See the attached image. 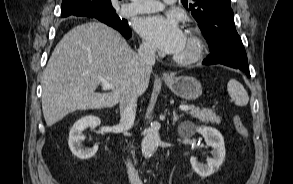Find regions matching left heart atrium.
Returning <instances> with one entry per match:
<instances>
[{"mask_svg":"<svg viewBox=\"0 0 293 184\" xmlns=\"http://www.w3.org/2000/svg\"><path fill=\"white\" fill-rule=\"evenodd\" d=\"M138 31L153 46L169 54L177 52L184 38L176 19L162 15L142 18L138 23Z\"/></svg>","mask_w":293,"mask_h":184,"instance_id":"obj_1","label":"left heart atrium"}]
</instances>
